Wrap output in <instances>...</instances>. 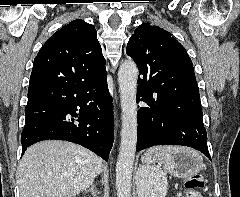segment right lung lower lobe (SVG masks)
Listing matches in <instances>:
<instances>
[{"label":"right lung lower lobe","mask_w":240,"mask_h":197,"mask_svg":"<svg viewBox=\"0 0 240 197\" xmlns=\"http://www.w3.org/2000/svg\"><path fill=\"white\" fill-rule=\"evenodd\" d=\"M113 105L107 73L82 83H54L28 91L22 155L49 139L80 144L108 160L114 140Z\"/></svg>","instance_id":"obj_1"}]
</instances>
